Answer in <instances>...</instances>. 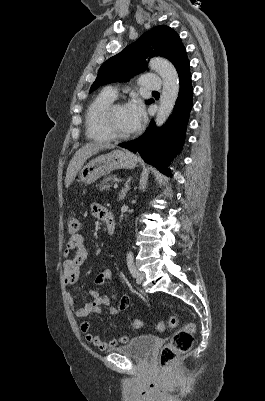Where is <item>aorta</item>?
<instances>
[{"instance_id": "1", "label": "aorta", "mask_w": 265, "mask_h": 401, "mask_svg": "<svg viewBox=\"0 0 265 401\" xmlns=\"http://www.w3.org/2000/svg\"><path fill=\"white\" fill-rule=\"evenodd\" d=\"M149 66L156 70L162 78V92L155 118L157 126H162L170 116L176 102L179 92V76L174 64L166 58L154 56L151 58Z\"/></svg>"}]
</instances>
